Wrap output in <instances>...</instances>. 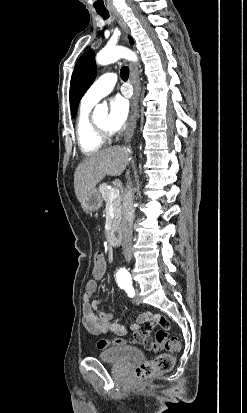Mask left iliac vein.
<instances>
[{
	"label": "left iliac vein",
	"mask_w": 247,
	"mask_h": 413,
	"mask_svg": "<svg viewBox=\"0 0 247 413\" xmlns=\"http://www.w3.org/2000/svg\"><path fill=\"white\" fill-rule=\"evenodd\" d=\"M133 303L136 304V305H139V304H140V299L136 296V297L133 299Z\"/></svg>",
	"instance_id": "1"
}]
</instances>
